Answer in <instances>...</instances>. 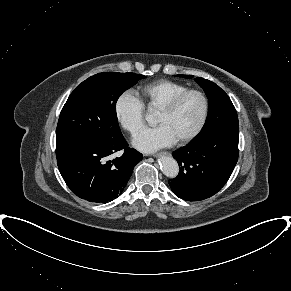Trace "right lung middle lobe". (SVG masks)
Segmentation results:
<instances>
[{
	"instance_id": "obj_1",
	"label": "right lung middle lobe",
	"mask_w": 291,
	"mask_h": 291,
	"mask_svg": "<svg viewBox=\"0 0 291 291\" xmlns=\"http://www.w3.org/2000/svg\"><path fill=\"white\" fill-rule=\"evenodd\" d=\"M141 78L145 76L131 72H104L79 84L60 113L56 130L57 159L75 148L120 137L116 102Z\"/></svg>"
}]
</instances>
